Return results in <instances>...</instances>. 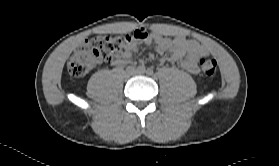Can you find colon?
<instances>
[{"instance_id": "5ec220e1", "label": "colon", "mask_w": 279, "mask_h": 166, "mask_svg": "<svg viewBox=\"0 0 279 166\" xmlns=\"http://www.w3.org/2000/svg\"><path fill=\"white\" fill-rule=\"evenodd\" d=\"M139 32L126 35H99L86 39L71 55L68 68L72 76L83 77L104 61H114L122 57L127 46L142 38ZM199 67L205 76H213L217 63L213 58L202 57Z\"/></svg>"}]
</instances>
